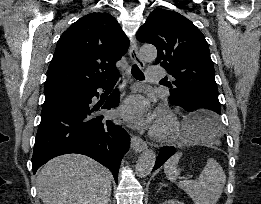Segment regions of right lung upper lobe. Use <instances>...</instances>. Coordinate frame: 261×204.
<instances>
[{
	"mask_svg": "<svg viewBox=\"0 0 261 204\" xmlns=\"http://www.w3.org/2000/svg\"><path fill=\"white\" fill-rule=\"evenodd\" d=\"M129 40L116 19L91 13L73 23L60 37L48 68L45 96L89 87L117 73L115 63Z\"/></svg>",
	"mask_w": 261,
	"mask_h": 204,
	"instance_id": "obj_1",
	"label": "right lung upper lobe"
}]
</instances>
